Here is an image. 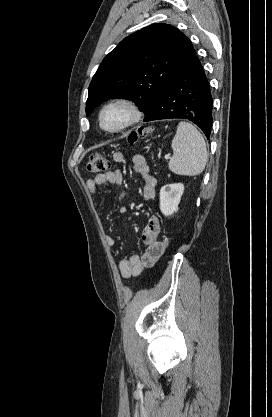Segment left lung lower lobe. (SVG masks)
Segmentation results:
<instances>
[{
  "mask_svg": "<svg viewBox=\"0 0 272 417\" xmlns=\"http://www.w3.org/2000/svg\"><path fill=\"white\" fill-rule=\"evenodd\" d=\"M213 100L208 79L196 55L175 75L144 121L181 118L210 137Z\"/></svg>",
  "mask_w": 272,
  "mask_h": 417,
  "instance_id": "left-lung-lower-lobe-1",
  "label": "left lung lower lobe"
}]
</instances>
